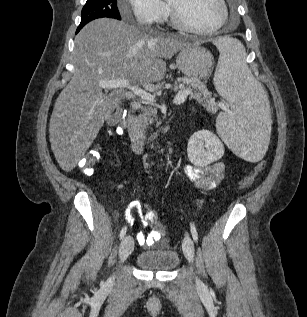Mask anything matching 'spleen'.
<instances>
[{
  "label": "spleen",
  "mask_w": 307,
  "mask_h": 317,
  "mask_svg": "<svg viewBox=\"0 0 307 317\" xmlns=\"http://www.w3.org/2000/svg\"><path fill=\"white\" fill-rule=\"evenodd\" d=\"M210 47H217L220 53L214 85L233 110L232 114L217 118V132L241 160H260L269 150L267 139H271V106L270 100L265 99L266 86H261L251 74L239 40L212 37Z\"/></svg>",
  "instance_id": "1"
}]
</instances>
